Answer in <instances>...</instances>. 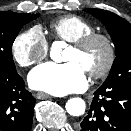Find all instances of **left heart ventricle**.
<instances>
[{"instance_id": "1", "label": "left heart ventricle", "mask_w": 131, "mask_h": 131, "mask_svg": "<svg viewBox=\"0 0 131 131\" xmlns=\"http://www.w3.org/2000/svg\"><path fill=\"white\" fill-rule=\"evenodd\" d=\"M106 57V49L102 43H95L84 52H78L73 48H69L65 61L77 62L85 72L96 70L102 66Z\"/></svg>"}]
</instances>
